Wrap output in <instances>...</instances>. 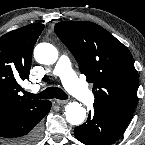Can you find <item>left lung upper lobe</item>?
<instances>
[{
  "mask_svg": "<svg viewBox=\"0 0 145 145\" xmlns=\"http://www.w3.org/2000/svg\"><path fill=\"white\" fill-rule=\"evenodd\" d=\"M55 32L74 55L81 73L94 84V110L127 124L138 89V72L128 48L92 22H59Z\"/></svg>",
  "mask_w": 145,
  "mask_h": 145,
  "instance_id": "5c2ea615",
  "label": "left lung upper lobe"
}]
</instances>
